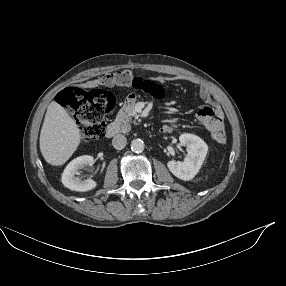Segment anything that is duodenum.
I'll list each match as a JSON object with an SVG mask.
<instances>
[{
  "label": "duodenum",
  "instance_id": "1",
  "mask_svg": "<svg viewBox=\"0 0 286 286\" xmlns=\"http://www.w3.org/2000/svg\"><path fill=\"white\" fill-rule=\"evenodd\" d=\"M123 129V126L121 123H110L106 130H105V137L112 138L116 135H118Z\"/></svg>",
  "mask_w": 286,
  "mask_h": 286
}]
</instances>
